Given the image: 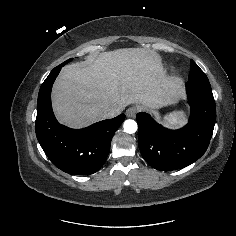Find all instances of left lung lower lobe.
Wrapping results in <instances>:
<instances>
[{
	"label": "left lung lower lobe",
	"mask_w": 236,
	"mask_h": 236,
	"mask_svg": "<svg viewBox=\"0 0 236 236\" xmlns=\"http://www.w3.org/2000/svg\"><path fill=\"white\" fill-rule=\"evenodd\" d=\"M186 91L191 115L183 128H164L144 112L136 116L140 152L157 170L169 171L188 166L208 148L216 121L215 100L208 78L189 80Z\"/></svg>",
	"instance_id": "0a47b994"
}]
</instances>
